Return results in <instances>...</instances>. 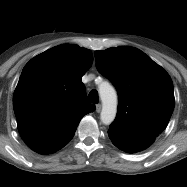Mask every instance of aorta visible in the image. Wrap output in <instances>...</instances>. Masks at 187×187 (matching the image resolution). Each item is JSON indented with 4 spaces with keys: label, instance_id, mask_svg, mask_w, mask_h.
<instances>
[{
    "label": "aorta",
    "instance_id": "obj_1",
    "mask_svg": "<svg viewBox=\"0 0 187 187\" xmlns=\"http://www.w3.org/2000/svg\"><path fill=\"white\" fill-rule=\"evenodd\" d=\"M99 95L102 100V111L100 118L103 124H111L117 113V94L115 89L108 82H101Z\"/></svg>",
    "mask_w": 187,
    "mask_h": 187
}]
</instances>
